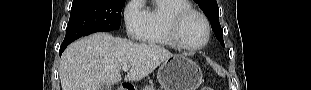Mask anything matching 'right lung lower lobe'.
<instances>
[{
  "label": "right lung lower lobe",
  "instance_id": "98d812e1",
  "mask_svg": "<svg viewBox=\"0 0 311 90\" xmlns=\"http://www.w3.org/2000/svg\"><path fill=\"white\" fill-rule=\"evenodd\" d=\"M67 45H68V44H63V43H62L61 48H60V52H59L60 55L62 54V52L64 51V49L67 47Z\"/></svg>",
  "mask_w": 311,
  "mask_h": 90
}]
</instances>
